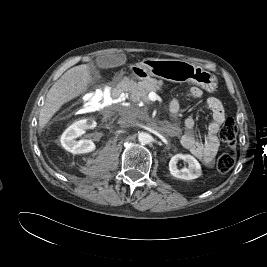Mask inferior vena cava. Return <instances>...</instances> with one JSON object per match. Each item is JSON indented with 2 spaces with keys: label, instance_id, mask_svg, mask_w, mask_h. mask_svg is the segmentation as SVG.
I'll list each match as a JSON object with an SVG mask.
<instances>
[{
  "label": "inferior vena cava",
  "instance_id": "obj_1",
  "mask_svg": "<svg viewBox=\"0 0 267 267\" xmlns=\"http://www.w3.org/2000/svg\"><path fill=\"white\" fill-rule=\"evenodd\" d=\"M121 117L118 123L122 127H134L137 125V120L135 119V113L131 108H123L120 112Z\"/></svg>",
  "mask_w": 267,
  "mask_h": 267
}]
</instances>
